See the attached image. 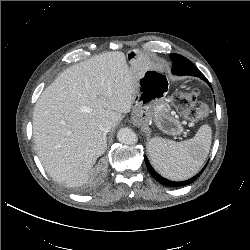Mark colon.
Returning <instances> with one entry per match:
<instances>
[{
	"mask_svg": "<svg viewBox=\"0 0 250 250\" xmlns=\"http://www.w3.org/2000/svg\"><path fill=\"white\" fill-rule=\"evenodd\" d=\"M173 104L186 119L198 121L208 115L209 109L205 103L198 101V92L180 91L173 97Z\"/></svg>",
	"mask_w": 250,
	"mask_h": 250,
	"instance_id": "5ec220e1",
	"label": "colon"
}]
</instances>
